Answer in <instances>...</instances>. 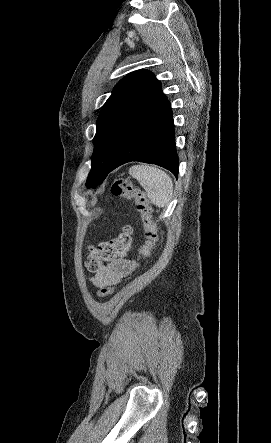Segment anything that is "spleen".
<instances>
[{"label": "spleen", "mask_w": 271, "mask_h": 443, "mask_svg": "<svg viewBox=\"0 0 271 443\" xmlns=\"http://www.w3.org/2000/svg\"><path fill=\"white\" fill-rule=\"evenodd\" d=\"M129 174L138 180L152 204L158 208L168 206L173 194V182L166 172L154 166H132Z\"/></svg>", "instance_id": "1"}]
</instances>
